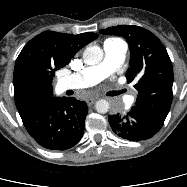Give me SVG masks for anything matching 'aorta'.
<instances>
[{
    "mask_svg": "<svg viewBox=\"0 0 187 187\" xmlns=\"http://www.w3.org/2000/svg\"><path fill=\"white\" fill-rule=\"evenodd\" d=\"M103 50L98 46H89L83 52V59L87 65L99 64L103 59ZM96 111L105 114L109 110V102L105 99L98 100L95 105Z\"/></svg>",
    "mask_w": 187,
    "mask_h": 187,
    "instance_id": "1",
    "label": "aorta"
}]
</instances>
